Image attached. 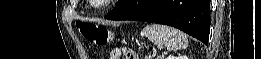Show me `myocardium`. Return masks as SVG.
I'll list each match as a JSON object with an SVG mask.
<instances>
[{
    "instance_id": "myocardium-1",
    "label": "myocardium",
    "mask_w": 261,
    "mask_h": 59,
    "mask_svg": "<svg viewBox=\"0 0 261 59\" xmlns=\"http://www.w3.org/2000/svg\"><path fill=\"white\" fill-rule=\"evenodd\" d=\"M112 1L113 0H95L94 2L96 3V7L102 8Z\"/></svg>"
}]
</instances>
